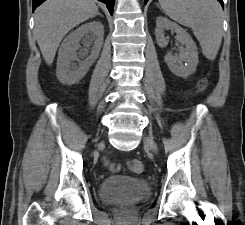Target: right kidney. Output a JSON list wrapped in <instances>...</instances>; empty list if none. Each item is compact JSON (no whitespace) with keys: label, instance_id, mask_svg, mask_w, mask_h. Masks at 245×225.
I'll list each match as a JSON object with an SVG mask.
<instances>
[{"label":"right kidney","instance_id":"right-kidney-1","mask_svg":"<svg viewBox=\"0 0 245 225\" xmlns=\"http://www.w3.org/2000/svg\"><path fill=\"white\" fill-rule=\"evenodd\" d=\"M104 26L101 22L93 21L83 24L81 27L70 33L62 42L57 59L56 75L58 80L67 85H72L81 80L88 72L90 66L98 57L103 45ZM86 47L78 54L80 41ZM93 44L91 55L85 60L88 48ZM79 62V65L74 63Z\"/></svg>","mask_w":245,"mask_h":225}]
</instances>
